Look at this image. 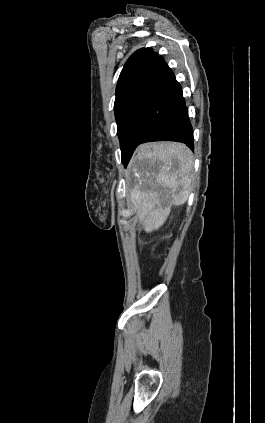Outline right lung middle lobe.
I'll return each instance as SVG.
<instances>
[{"label":"right lung middle lobe","mask_w":265,"mask_h":423,"mask_svg":"<svg viewBox=\"0 0 265 423\" xmlns=\"http://www.w3.org/2000/svg\"><path fill=\"white\" fill-rule=\"evenodd\" d=\"M147 94H134L125 97L114 104L115 118L117 122V134L120 139L122 162L126 161V152L122 146L124 132L131 122L132 117L143 103Z\"/></svg>","instance_id":"dd1d6c3e"}]
</instances>
